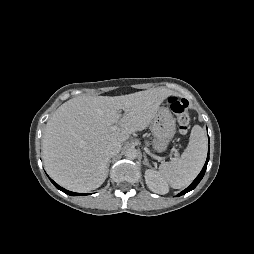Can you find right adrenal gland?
I'll return each instance as SVG.
<instances>
[{"mask_svg":"<svg viewBox=\"0 0 254 254\" xmlns=\"http://www.w3.org/2000/svg\"><path fill=\"white\" fill-rule=\"evenodd\" d=\"M110 163H111V160H108V163H107V175H108V172H109Z\"/></svg>","mask_w":254,"mask_h":254,"instance_id":"right-adrenal-gland-1","label":"right adrenal gland"}]
</instances>
